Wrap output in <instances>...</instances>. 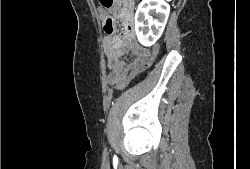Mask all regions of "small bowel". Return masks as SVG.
I'll list each match as a JSON object with an SVG mask.
<instances>
[{"label": "small bowel", "mask_w": 250, "mask_h": 169, "mask_svg": "<svg viewBox=\"0 0 250 169\" xmlns=\"http://www.w3.org/2000/svg\"><path fill=\"white\" fill-rule=\"evenodd\" d=\"M114 14L105 16V25L109 20L114 22ZM123 21L125 24V38L121 42L116 37H105L104 38V49L107 56V63L109 68V80L115 85L116 88H120V83L124 82L125 72H131V67H136L140 64L147 56L148 52L139 47L136 42L129 38V32L131 31V15L129 12L123 13ZM131 53L133 59L130 61L125 60V56Z\"/></svg>", "instance_id": "obj_1"}]
</instances>
